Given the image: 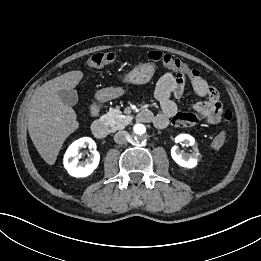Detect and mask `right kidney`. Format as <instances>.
Returning a JSON list of instances; mask_svg holds the SVG:
<instances>
[{
  "instance_id": "obj_1",
  "label": "right kidney",
  "mask_w": 261,
  "mask_h": 261,
  "mask_svg": "<svg viewBox=\"0 0 261 261\" xmlns=\"http://www.w3.org/2000/svg\"><path fill=\"white\" fill-rule=\"evenodd\" d=\"M89 146L90 148H96L95 142L89 137H83L74 141L67 149L63 164L65 169L71 176L74 177H87L98 166L100 161V155L96 150L92 151V156L85 162H79L78 152L81 148Z\"/></svg>"
}]
</instances>
